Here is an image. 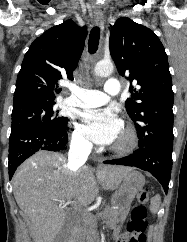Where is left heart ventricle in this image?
Listing matches in <instances>:
<instances>
[{
  "instance_id": "1",
  "label": "left heart ventricle",
  "mask_w": 187,
  "mask_h": 242,
  "mask_svg": "<svg viewBox=\"0 0 187 242\" xmlns=\"http://www.w3.org/2000/svg\"><path fill=\"white\" fill-rule=\"evenodd\" d=\"M125 142H126V135H125L124 129L122 127L117 139L113 143V146H120V145H123Z\"/></svg>"
}]
</instances>
